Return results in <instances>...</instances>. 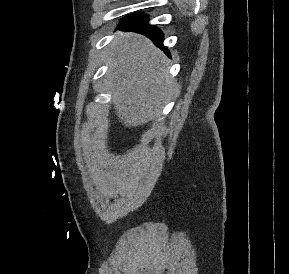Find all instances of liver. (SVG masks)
Returning a JSON list of instances; mask_svg holds the SVG:
<instances>
[{"label":"liver","instance_id":"6515ba94","mask_svg":"<svg viewBox=\"0 0 289 274\" xmlns=\"http://www.w3.org/2000/svg\"><path fill=\"white\" fill-rule=\"evenodd\" d=\"M108 50L117 116L126 127L154 119L177 90L168 73V59L149 39L135 33H118Z\"/></svg>","mask_w":289,"mask_h":274}]
</instances>
